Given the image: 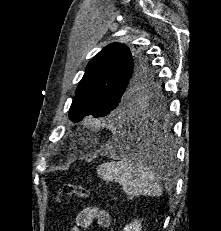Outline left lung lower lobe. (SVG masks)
<instances>
[{
  "instance_id": "1",
  "label": "left lung lower lobe",
  "mask_w": 221,
  "mask_h": 231,
  "mask_svg": "<svg viewBox=\"0 0 221 231\" xmlns=\"http://www.w3.org/2000/svg\"><path fill=\"white\" fill-rule=\"evenodd\" d=\"M120 146L124 151L138 153L144 164L160 165L163 158L172 153V143L168 129L158 117H146L141 121L121 127ZM146 150V151H145Z\"/></svg>"
}]
</instances>
